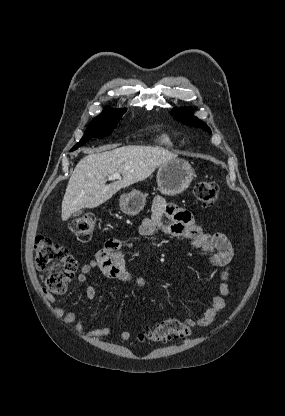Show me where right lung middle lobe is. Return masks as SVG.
<instances>
[{"instance_id": "dd1d6c3e", "label": "right lung middle lobe", "mask_w": 285, "mask_h": 416, "mask_svg": "<svg viewBox=\"0 0 285 416\" xmlns=\"http://www.w3.org/2000/svg\"><path fill=\"white\" fill-rule=\"evenodd\" d=\"M126 112V109L120 111H107L97 116L88 126L82 139L71 149V151L79 148L80 145L85 144L91 138H100L109 136L112 131L117 127V124L122 118V115Z\"/></svg>"}]
</instances>
